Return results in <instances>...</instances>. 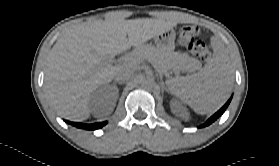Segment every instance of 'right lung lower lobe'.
<instances>
[{
	"mask_svg": "<svg viewBox=\"0 0 279 166\" xmlns=\"http://www.w3.org/2000/svg\"><path fill=\"white\" fill-rule=\"evenodd\" d=\"M68 122V121H66ZM71 125L82 128V129H89V130H94V129H99L103 127L104 125L107 124V122H101V123H95V124H83V123H76V122H68Z\"/></svg>",
	"mask_w": 279,
	"mask_h": 166,
	"instance_id": "obj_1",
	"label": "right lung lower lobe"
}]
</instances>
